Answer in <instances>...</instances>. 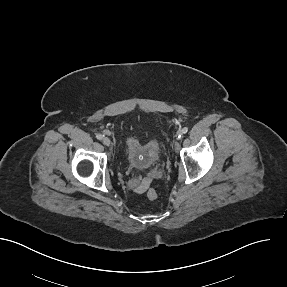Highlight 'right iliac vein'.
I'll return each instance as SVG.
<instances>
[{
	"label": "right iliac vein",
	"instance_id": "1",
	"mask_svg": "<svg viewBox=\"0 0 287 287\" xmlns=\"http://www.w3.org/2000/svg\"><path fill=\"white\" fill-rule=\"evenodd\" d=\"M102 142L105 146H110L111 144V140L108 137H104Z\"/></svg>",
	"mask_w": 287,
	"mask_h": 287
}]
</instances>
